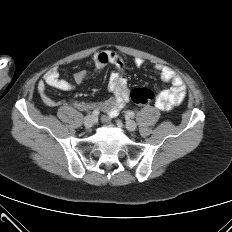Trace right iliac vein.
<instances>
[{"instance_id":"1","label":"right iliac vein","mask_w":232,"mask_h":232,"mask_svg":"<svg viewBox=\"0 0 232 232\" xmlns=\"http://www.w3.org/2000/svg\"><path fill=\"white\" fill-rule=\"evenodd\" d=\"M95 119L93 116L88 115L84 118V125L86 128H91L94 125Z\"/></svg>"}]
</instances>
